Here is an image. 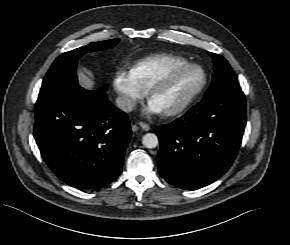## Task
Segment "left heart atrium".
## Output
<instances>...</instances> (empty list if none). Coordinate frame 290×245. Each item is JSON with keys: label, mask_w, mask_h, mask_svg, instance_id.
I'll return each instance as SVG.
<instances>
[{"label": "left heart atrium", "mask_w": 290, "mask_h": 245, "mask_svg": "<svg viewBox=\"0 0 290 245\" xmlns=\"http://www.w3.org/2000/svg\"><path fill=\"white\" fill-rule=\"evenodd\" d=\"M163 110L162 108L160 107V105H158L154 100H152L150 98V100L148 101V104L147 106L145 107L143 113L145 115H157V114H160L162 113Z\"/></svg>", "instance_id": "39dd6f15"}]
</instances>
